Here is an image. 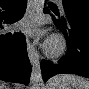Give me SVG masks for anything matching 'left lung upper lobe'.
I'll use <instances>...</instances> for the list:
<instances>
[{
	"instance_id": "1",
	"label": "left lung upper lobe",
	"mask_w": 89,
	"mask_h": 89,
	"mask_svg": "<svg viewBox=\"0 0 89 89\" xmlns=\"http://www.w3.org/2000/svg\"><path fill=\"white\" fill-rule=\"evenodd\" d=\"M64 11L88 10L89 0H63Z\"/></svg>"
}]
</instances>
